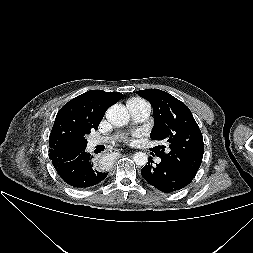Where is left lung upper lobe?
I'll return each mask as SVG.
<instances>
[{
	"instance_id": "left-lung-upper-lobe-1",
	"label": "left lung upper lobe",
	"mask_w": 253,
	"mask_h": 253,
	"mask_svg": "<svg viewBox=\"0 0 253 253\" xmlns=\"http://www.w3.org/2000/svg\"><path fill=\"white\" fill-rule=\"evenodd\" d=\"M137 93L153 107L154 126L150 138L165 143L151 148L152 152L193 179L202 162L204 144L190 109L159 89L140 90Z\"/></svg>"
}]
</instances>
